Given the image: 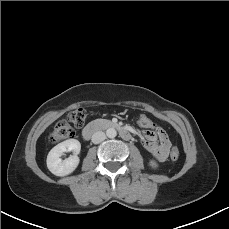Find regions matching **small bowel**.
<instances>
[{
    "label": "small bowel",
    "mask_w": 229,
    "mask_h": 229,
    "mask_svg": "<svg viewBox=\"0 0 229 229\" xmlns=\"http://www.w3.org/2000/svg\"><path fill=\"white\" fill-rule=\"evenodd\" d=\"M139 124L146 129L141 139L143 147L153 155L156 161L164 162L171 147L167 134L160 128H156V131L151 130L153 123L144 115L140 116Z\"/></svg>",
    "instance_id": "c3829d8e"
}]
</instances>
